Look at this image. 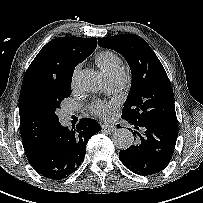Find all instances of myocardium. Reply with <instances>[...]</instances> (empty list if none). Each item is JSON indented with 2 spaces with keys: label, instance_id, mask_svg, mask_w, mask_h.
Masks as SVG:
<instances>
[{
  "label": "myocardium",
  "instance_id": "f54148a6",
  "mask_svg": "<svg viewBox=\"0 0 203 203\" xmlns=\"http://www.w3.org/2000/svg\"><path fill=\"white\" fill-rule=\"evenodd\" d=\"M108 79L113 83L115 88H122L127 83V77L123 71L109 75Z\"/></svg>",
  "mask_w": 203,
  "mask_h": 203
}]
</instances>
